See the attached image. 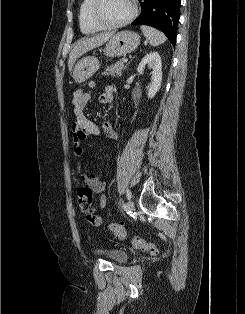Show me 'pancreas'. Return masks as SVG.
Wrapping results in <instances>:
<instances>
[{"instance_id":"cf45deb5","label":"pancreas","mask_w":245,"mask_h":314,"mask_svg":"<svg viewBox=\"0 0 245 314\" xmlns=\"http://www.w3.org/2000/svg\"><path fill=\"white\" fill-rule=\"evenodd\" d=\"M125 69L123 59L116 62L114 65L107 67L102 75L104 76H113L120 77L122 75V71Z\"/></svg>"}]
</instances>
